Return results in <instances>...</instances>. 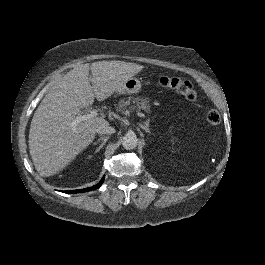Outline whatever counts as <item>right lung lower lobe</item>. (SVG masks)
<instances>
[{
	"label": "right lung lower lobe",
	"instance_id": "98d812e1",
	"mask_svg": "<svg viewBox=\"0 0 265 265\" xmlns=\"http://www.w3.org/2000/svg\"><path fill=\"white\" fill-rule=\"evenodd\" d=\"M104 181V177L101 179V181L92 186V187H88V188H85V189H79V190H69V191H63L64 193H81V192H88V191H92V190H95L97 188H99L101 186V184L103 183Z\"/></svg>",
	"mask_w": 265,
	"mask_h": 265
}]
</instances>
